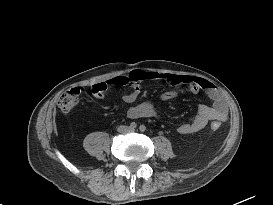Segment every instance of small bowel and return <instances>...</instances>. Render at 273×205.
<instances>
[{
  "label": "small bowel",
  "instance_id": "c3829d8e",
  "mask_svg": "<svg viewBox=\"0 0 273 205\" xmlns=\"http://www.w3.org/2000/svg\"><path fill=\"white\" fill-rule=\"evenodd\" d=\"M141 81H162L174 85L171 90L163 92L158 99L145 102L129 109L128 115L132 118L152 117L165 102L185 94H197L204 91L212 99V105H200L196 116L179 127L181 134H189L203 129L211 120L225 121L228 116V105L222 93L211 82L184 74L133 70L127 75L116 76L104 82L91 86V93L97 99H102L108 90L116 87L131 85V91L124 94L126 103H133L139 96Z\"/></svg>",
  "mask_w": 273,
  "mask_h": 205
}]
</instances>
